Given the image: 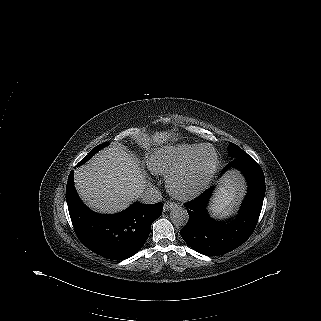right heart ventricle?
Instances as JSON below:
<instances>
[{
  "instance_id": "e07e8e85",
  "label": "right heart ventricle",
  "mask_w": 321,
  "mask_h": 321,
  "mask_svg": "<svg viewBox=\"0 0 321 321\" xmlns=\"http://www.w3.org/2000/svg\"><path fill=\"white\" fill-rule=\"evenodd\" d=\"M199 145L201 144L160 147L151 154L148 160V168L153 174L167 176L182 166Z\"/></svg>"
}]
</instances>
